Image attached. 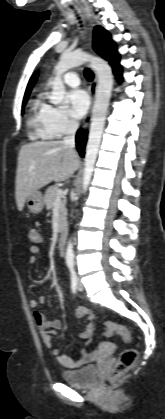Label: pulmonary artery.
I'll use <instances>...</instances> for the list:
<instances>
[{
  "label": "pulmonary artery",
  "mask_w": 165,
  "mask_h": 419,
  "mask_svg": "<svg viewBox=\"0 0 165 419\" xmlns=\"http://www.w3.org/2000/svg\"><path fill=\"white\" fill-rule=\"evenodd\" d=\"M63 81L70 87H77L80 84L79 76L73 72L66 73L63 77Z\"/></svg>",
  "instance_id": "e3ab8cb5"
}]
</instances>
